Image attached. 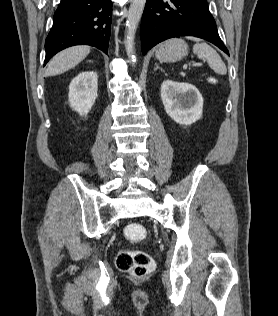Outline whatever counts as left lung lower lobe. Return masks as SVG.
<instances>
[{
	"mask_svg": "<svg viewBox=\"0 0 278 316\" xmlns=\"http://www.w3.org/2000/svg\"><path fill=\"white\" fill-rule=\"evenodd\" d=\"M205 39L227 55L207 0H147L141 22L142 53L173 37Z\"/></svg>",
	"mask_w": 278,
	"mask_h": 316,
	"instance_id": "left-lung-lower-lobe-1",
	"label": "left lung lower lobe"
}]
</instances>
